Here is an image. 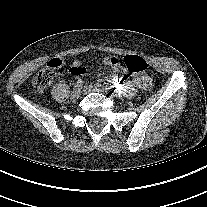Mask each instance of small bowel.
I'll return each mask as SVG.
<instances>
[{
	"label": "small bowel",
	"instance_id": "small-bowel-1",
	"mask_svg": "<svg viewBox=\"0 0 207 207\" xmlns=\"http://www.w3.org/2000/svg\"><path fill=\"white\" fill-rule=\"evenodd\" d=\"M103 63L113 67L115 69V71L118 73H122V74L128 73V70L125 67H122L120 65L119 59L115 56L104 58ZM71 72H72V74H74L78 77L84 74V69L82 67L81 61L76 60L73 62ZM114 80H115L116 84L129 83L125 79L119 78V77H115ZM131 84L138 87L141 90H144V91H149L152 88V81H151L150 77L147 75L136 76L133 79V81L131 82Z\"/></svg>",
	"mask_w": 207,
	"mask_h": 207
}]
</instances>
